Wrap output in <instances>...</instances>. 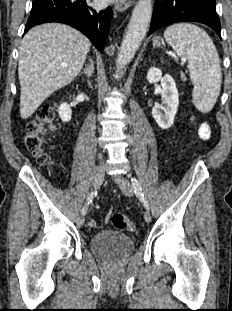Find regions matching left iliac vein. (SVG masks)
I'll return each instance as SVG.
<instances>
[{
    "label": "left iliac vein",
    "mask_w": 232,
    "mask_h": 311,
    "mask_svg": "<svg viewBox=\"0 0 232 311\" xmlns=\"http://www.w3.org/2000/svg\"><path fill=\"white\" fill-rule=\"evenodd\" d=\"M115 181L126 196L130 197L133 195V187L131 183L129 182V180H127L123 176H118V177H115ZM143 216H144V220L147 223L151 221V214L149 210H145Z\"/></svg>",
    "instance_id": "4c4485c4"
}]
</instances>
